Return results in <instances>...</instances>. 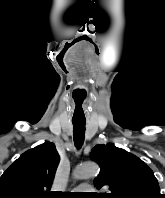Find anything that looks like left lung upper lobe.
Masks as SVG:
<instances>
[{
    "mask_svg": "<svg viewBox=\"0 0 165 198\" xmlns=\"http://www.w3.org/2000/svg\"><path fill=\"white\" fill-rule=\"evenodd\" d=\"M91 159L100 166L94 180L101 198H164L152 170L138 157L113 144L97 145Z\"/></svg>",
    "mask_w": 165,
    "mask_h": 198,
    "instance_id": "obj_1",
    "label": "left lung upper lobe"
}]
</instances>
